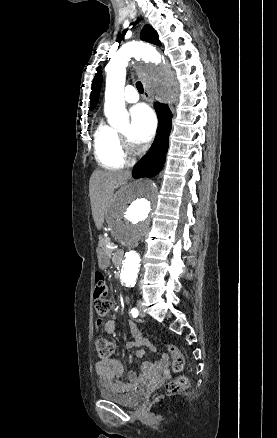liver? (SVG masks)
I'll return each instance as SVG.
<instances>
[{"label":"liver","instance_id":"6515ba94","mask_svg":"<svg viewBox=\"0 0 277 438\" xmlns=\"http://www.w3.org/2000/svg\"><path fill=\"white\" fill-rule=\"evenodd\" d=\"M129 176L125 172H103L95 170L90 180V202L93 220L97 230L104 224L105 212L115 188L124 186Z\"/></svg>","mask_w":277,"mask_h":438}]
</instances>
